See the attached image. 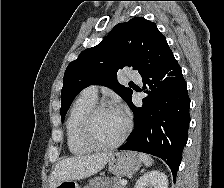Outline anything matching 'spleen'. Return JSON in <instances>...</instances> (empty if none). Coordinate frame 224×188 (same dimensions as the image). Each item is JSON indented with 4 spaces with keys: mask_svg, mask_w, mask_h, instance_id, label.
<instances>
[{
    "mask_svg": "<svg viewBox=\"0 0 224 188\" xmlns=\"http://www.w3.org/2000/svg\"><path fill=\"white\" fill-rule=\"evenodd\" d=\"M139 156L145 166L149 167L152 165L153 159L149 155L141 153Z\"/></svg>",
    "mask_w": 224,
    "mask_h": 188,
    "instance_id": "spleen-1",
    "label": "spleen"
}]
</instances>
